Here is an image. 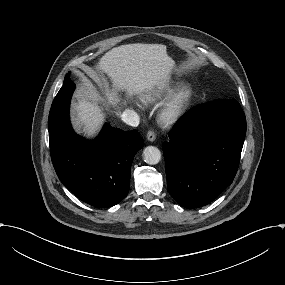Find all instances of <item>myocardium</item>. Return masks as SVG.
Returning <instances> with one entry per match:
<instances>
[{
	"label": "myocardium",
	"mask_w": 285,
	"mask_h": 285,
	"mask_svg": "<svg viewBox=\"0 0 285 285\" xmlns=\"http://www.w3.org/2000/svg\"><path fill=\"white\" fill-rule=\"evenodd\" d=\"M196 97V90L191 84H183L174 89L162 103L157 121L165 127H173L184 120Z\"/></svg>",
	"instance_id": "f54148a6"
}]
</instances>
